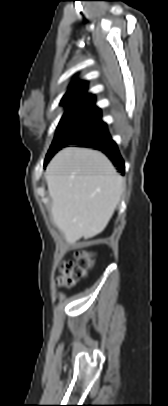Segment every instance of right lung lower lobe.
<instances>
[{"mask_svg": "<svg viewBox=\"0 0 168 406\" xmlns=\"http://www.w3.org/2000/svg\"><path fill=\"white\" fill-rule=\"evenodd\" d=\"M71 145H77L79 147L95 148L97 150L102 151L104 154H106V156L110 160L113 161V163L115 164V166L118 167L120 172L124 174L125 169L123 159L120 156L116 143L112 140L111 136L109 135L107 127Z\"/></svg>", "mask_w": 168, "mask_h": 406, "instance_id": "obj_1", "label": "right lung lower lobe"}]
</instances>
